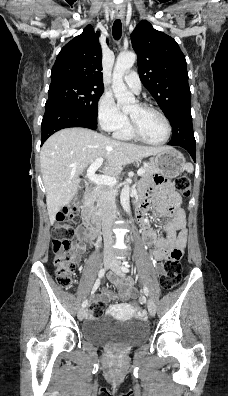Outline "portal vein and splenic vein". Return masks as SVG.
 Listing matches in <instances>:
<instances>
[{"instance_id":"18ae733b","label":"portal vein and splenic vein","mask_w":228,"mask_h":396,"mask_svg":"<svg viewBox=\"0 0 228 396\" xmlns=\"http://www.w3.org/2000/svg\"><path fill=\"white\" fill-rule=\"evenodd\" d=\"M103 163L102 158H98L95 160L93 164L87 170V178L97 185H106V186H114L117 182L115 177L107 176V175H97L95 174L96 170L101 166ZM144 168H139L137 174L141 176L144 173Z\"/></svg>"}]
</instances>
